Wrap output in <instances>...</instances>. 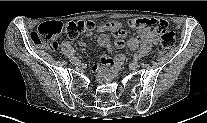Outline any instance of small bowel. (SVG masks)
<instances>
[{
	"instance_id": "c3829d8e",
	"label": "small bowel",
	"mask_w": 207,
	"mask_h": 123,
	"mask_svg": "<svg viewBox=\"0 0 207 123\" xmlns=\"http://www.w3.org/2000/svg\"><path fill=\"white\" fill-rule=\"evenodd\" d=\"M98 32H111L114 36L115 45L118 48H122L125 45L129 49H135L142 41H147L151 44H157L159 41V37L156 33L152 32L149 29H139L137 31V35L125 41L126 30L124 29L123 25L119 22H105L100 24L97 27ZM98 43L100 46L111 50V40L107 35H101L98 38ZM103 62L105 64L113 63V59L110 56L106 55L103 57Z\"/></svg>"
}]
</instances>
